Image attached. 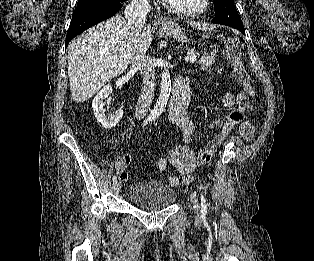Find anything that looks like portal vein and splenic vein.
I'll return each instance as SVG.
<instances>
[{"label": "portal vein and splenic vein", "mask_w": 314, "mask_h": 261, "mask_svg": "<svg viewBox=\"0 0 314 261\" xmlns=\"http://www.w3.org/2000/svg\"><path fill=\"white\" fill-rule=\"evenodd\" d=\"M185 59L187 61H189L190 63H194L196 61V55H192L190 57H186Z\"/></svg>", "instance_id": "portal-vein-and-splenic-vein-1"}]
</instances>
